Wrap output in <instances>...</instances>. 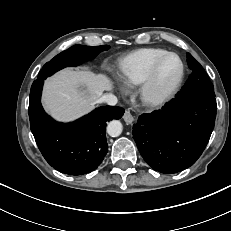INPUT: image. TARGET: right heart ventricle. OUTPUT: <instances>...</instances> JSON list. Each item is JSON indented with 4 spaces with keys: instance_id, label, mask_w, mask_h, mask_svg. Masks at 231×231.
I'll list each match as a JSON object with an SVG mask.
<instances>
[{
    "instance_id": "e07e8e85",
    "label": "right heart ventricle",
    "mask_w": 231,
    "mask_h": 231,
    "mask_svg": "<svg viewBox=\"0 0 231 231\" xmlns=\"http://www.w3.org/2000/svg\"><path fill=\"white\" fill-rule=\"evenodd\" d=\"M167 52L163 48H141L133 51L118 62L117 74L126 85L138 86L153 64Z\"/></svg>"
}]
</instances>
